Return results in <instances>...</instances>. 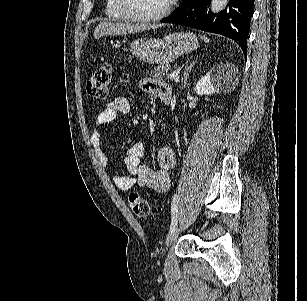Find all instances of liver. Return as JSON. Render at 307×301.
<instances>
[{
  "mask_svg": "<svg viewBox=\"0 0 307 301\" xmlns=\"http://www.w3.org/2000/svg\"><path fill=\"white\" fill-rule=\"evenodd\" d=\"M161 24H149V22H139V24H133V22H115V20H103L99 22L94 28L95 38L105 36V34H133V32H140V30H154L159 28Z\"/></svg>",
  "mask_w": 307,
  "mask_h": 301,
  "instance_id": "1",
  "label": "liver"
}]
</instances>
